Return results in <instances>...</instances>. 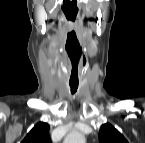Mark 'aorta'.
<instances>
[{
  "instance_id": "762f6f07",
  "label": "aorta",
  "mask_w": 145,
  "mask_h": 143,
  "mask_svg": "<svg viewBox=\"0 0 145 143\" xmlns=\"http://www.w3.org/2000/svg\"><path fill=\"white\" fill-rule=\"evenodd\" d=\"M84 136L79 132H72L68 134L64 140V143H84Z\"/></svg>"
}]
</instances>
